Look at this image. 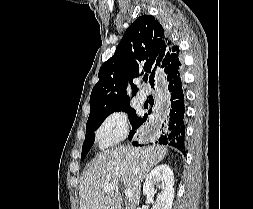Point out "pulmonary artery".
Masks as SVG:
<instances>
[{"instance_id":"1","label":"pulmonary artery","mask_w":253,"mask_h":209,"mask_svg":"<svg viewBox=\"0 0 253 209\" xmlns=\"http://www.w3.org/2000/svg\"><path fill=\"white\" fill-rule=\"evenodd\" d=\"M136 98H137V100L138 101H140V102H145L146 101V99H147V94L145 93V92H143V91H140V92H138L137 94H136Z\"/></svg>"}]
</instances>
